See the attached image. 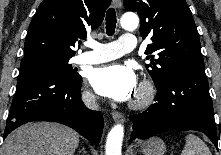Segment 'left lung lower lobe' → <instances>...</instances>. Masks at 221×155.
<instances>
[{
    "instance_id": "obj_1",
    "label": "left lung lower lobe",
    "mask_w": 221,
    "mask_h": 155,
    "mask_svg": "<svg viewBox=\"0 0 221 155\" xmlns=\"http://www.w3.org/2000/svg\"><path fill=\"white\" fill-rule=\"evenodd\" d=\"M156 101L146 111L132 115L131 139H146L172 130H196L217 147L213 104L204 70H185L157 88Z\"/></svg>"
}]
</instances>
